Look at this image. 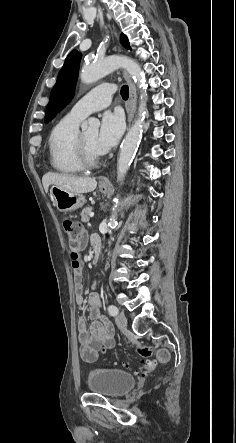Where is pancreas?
I'll return each mask as SVG.
<instances>
[{
    "label": "pancreas",
    "instance_id": "1",
    "mask_svg": "<svg viewBox=\"0 0 236 443\" xmlns=\"http://www.w3.org/2000/svg\"><path fill=\"white\" fill-rule=\"evenodd\" d=\"M92 212V207L91 206H86L82 212H81V220L83 222H88L89 221V214Z\"/></svg>",
    "mask_w": 236,
    "mask_h": 443
}]
</instances>
